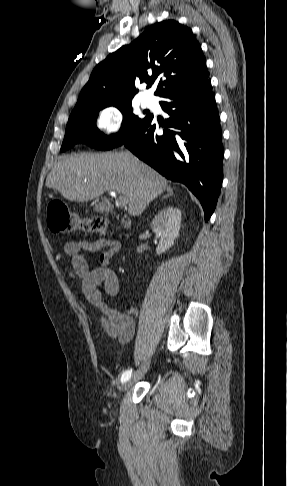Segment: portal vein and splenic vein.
Returning a JSON list of instances; mask_svg holds the SVG:
<instances>
[{
  "instance_id": "obj_1",
  "label": "portal vein and splenic vein",
  "mask_w": 287,
  "mask_h": 486,
  "mask_svg": "<svg viewBox=\"0 0 287 486\" xmlns=\"http://www.w3.org/2000/svg\"><path fill=\"white\" fill-rule=\"evenodd\" d=\"M110 194L112 196H116V193L114 191H111ZM117 200H118V204L120 206H126L127 203H128V200L124 196H121V195L117 198Z\"/></svg>"
}]
</instances>
